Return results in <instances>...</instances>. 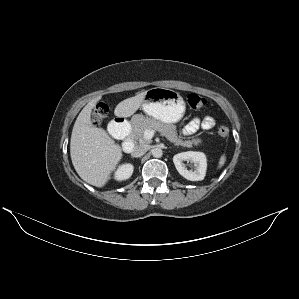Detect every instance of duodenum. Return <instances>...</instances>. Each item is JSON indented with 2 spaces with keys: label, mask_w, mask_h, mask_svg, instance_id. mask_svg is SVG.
<instances>
[{
  "label": "duodenum",
  "mask_w": 299,
  "mask_h": 299,
  "mask_svg": "<svg viewBox=\"0 0 299 299\" xmlns=\"http://www.w3.org/2000/svg\"><path fill=\"white\" fill-rule=\"evenodd\" d=\"M129 131L128 125L124 118H118L109 125V132L114 134H122ZM135 148V143L130 137H126L122 143L124 152L129 153Z\"/></svg>",
  "instance_id": "duodenum-1"
}]
</instances>
